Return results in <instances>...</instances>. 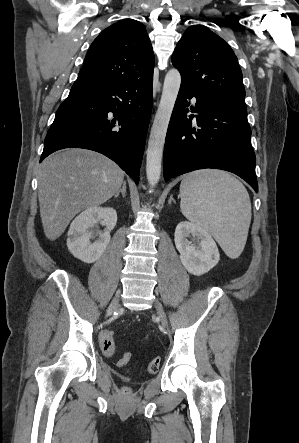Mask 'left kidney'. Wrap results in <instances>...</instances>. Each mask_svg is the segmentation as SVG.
<instances>
[{
    "label": "left kidney",
    "instance_id": "obj_1",
    "mask_svg": "<svg viewBox=\"0 0 299 443\" xmlns=\"http://www.w3.org/2000/svg\"><path fill=\"white\" fill-rule=\"evenodd\" d=\"M174 241L183 266L193 275L207 273L220 260L219 250L212 236L198 225L180 222L175 229Z\"/></svg>",
    "mask_w": 299,
    "mask_h": 443
}]
</instances>
